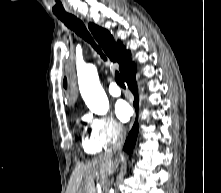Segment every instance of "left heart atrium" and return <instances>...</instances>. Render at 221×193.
<instances>
[{
	"label": "left heart atrium",
	"instance_id": "left-heart-atrium-1",
	"mask_svg": "<svg viewBox=\"0 0 221 193\" xmlns=\"http://www.w3.org/2000/svg\"><path fill=\"white\" fill-rule=\"evenodd\" d=\"M115 111L118 118L124 122L127 121L132 114L130 105L124 100H119L116 103Z\"/></svg>",
	"mask_w": 221,
	"mask_h": 193
}]
</instances>
